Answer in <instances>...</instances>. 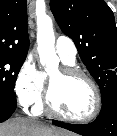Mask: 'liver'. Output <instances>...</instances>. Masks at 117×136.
<instances>
[{
  "label": "liver",
  "mask_w": 117,
  "mask_h": 136,
  "mask_svg": "<svg viewBox=\"0 0 117 136\" xmlns=\"http://www.w3.org/2000/svg\"><path fill=\"white\" fill-rule=\"evenodd\" d=\"M0 136H72V134L44 127L26 119L15 118L0 124Z\"/></svg>",
  "instance_id": "liver-1"
}]
</instances>
